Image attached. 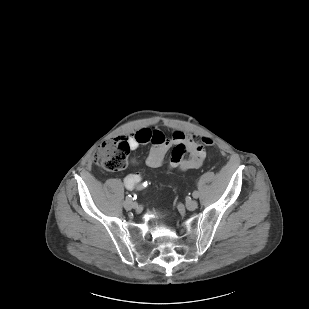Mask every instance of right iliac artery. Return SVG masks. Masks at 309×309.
I'll use <instances>...</instances> for the list:
<instances>
[{
  "label": "right iliac artery",
  "mask_w": 309,
  "mask_h": 309,
  "mask_svg": "<svg viewBox=\"0 0 309 309\" xmlns=\"http://www.w3.org/2000/svg\"><path fill=\"white\" fill-rule=\"evenodd\" d=\"M134 188V187H133ZM147 188V187H146ZM126 200H131V195H126Z\"/></svg>",
  "instance_id": "obj_1"
}]
</instances>
